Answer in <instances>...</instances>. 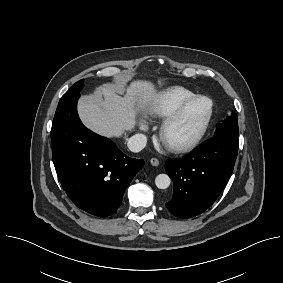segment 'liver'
I'll return each mask as SVG.
<instances>
[{
    "label": "liver",
    "instance_id": "liver-1",
    "mask_svg": "<svg viewBox=\"0 0 283 283\" xmlns=\"http://www.w3.org/2000/svg\"><path fill=\"white\" fill-rule=\"evenodd\" d=\"M159 101V95L148 81H135L125 97L116 87L104 85L93 94L84 95L78 102V113L90 130L110 138H119L136 125L137 112Z\"/></svg>",
    "mask_w": 283,
    "mask_h": 283
}]
</instances>
